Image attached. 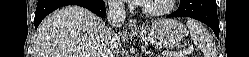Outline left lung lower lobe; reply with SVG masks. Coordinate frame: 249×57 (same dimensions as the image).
I'll return each instance as SVG.
<instances>
[{
    "mask_svg": "<svg viewBox=\"0 0 249 57\" xmlns=\"http://www.w3.org/2000/svg\"><path fill=\"white\" fill-rule=\"evenodd\" d=\"M168 17H191L212 28L219 38L216 0H180L179 8Z\"/></svg>",
    "mask_w": 249,
    "mask_h": 57,
    "instance_id": "1",
    "label": "left lung lower lobe"
}]
</instances>
